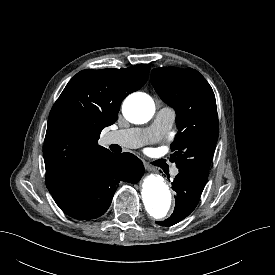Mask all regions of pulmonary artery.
I'll list each match as a JSON object with an SVG mask.
<instances>
[{
	"instance_id": "e3ab8cb5",
	"label": "pulmonary artery",
	"mask_w": 275,
	"mask_h": 275,
	"mask_svg": "<svg viewBox=\"0 0 275 275\" xmlns=\"http://www.w3.org/2000/svg\"><path fill=\"white\" fill-rule=\"evenodd\" d=\"M175 118V111L168 106L159 109L153 123L148 128H130L110 132L107 143L117 144L126 148H138L144 144L161 139L171 128ZM179 170L175 167L171 174L176 176Z\"/></svg>"
}]
</instances>
